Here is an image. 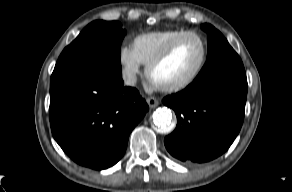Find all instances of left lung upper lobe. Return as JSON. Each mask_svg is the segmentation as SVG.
<instances>
[{
  "instance_id": "obj_1",
  "label": "left lung upper lobe",
  "mask_w": 292,
  "mask_h": 192,
  "mask_svg": "<svg viewBox=\"0 0 292 192\" xmlns=\"http://www.w3.org/2000/svg\"><path fill=\"white\" fill-rule=\"evenodd\" d=\"M201 28L208 34V57L195 80L226 73H245L240 57L224 36L210 24H203Z\"/></svg>"
}]
</instances>
